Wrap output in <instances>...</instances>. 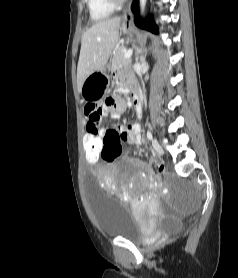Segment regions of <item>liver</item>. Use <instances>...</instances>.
<instances>
[{
  "instance_id": "obj_1",
  "label": "liver",
  "mask_w": 238,
  "mask_h": 278,
  "mask_svg": "<svg viewBox=\"0 0 238 278\" xmlns=\"http://www.w3.org/2000/svg\"><path fill=\"white\" fill-rule=\"evenodd\" d=\"M121 18L96 22L86 30L81 41L77 67V87L81 91L85 79L96 71L104 69L111 52L119 39Z\"/></svg>"
}]
</instances>
